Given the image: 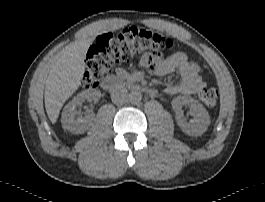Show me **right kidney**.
I'll return each mask as SVG.
<instances>
[{"instance_id":"ca27d5eb","label":"right kidney","mask_w":265,"mask_h":202,"mask_svg":"<svg viewBox=\"0 0 265 202\" xmlns=\"http://www.w3.org/2000/svg\"><path fill=\"white\" fill-rule=\"evenodd\" d=\"M101 97L99 90L88 89L77 94L63 109L62 127L74 134H82L88 129L90 115L85 117H76L77 108L82 105L85 100L98 101Z\"/></svg>"}]
</instances>
